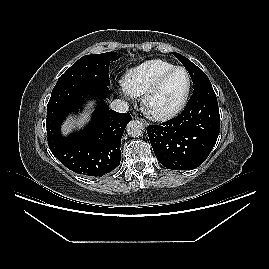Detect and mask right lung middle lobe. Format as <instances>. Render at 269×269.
<instances>
[{"label": "right lung middle lobe", "mask_w": 269, "mask_h": 269, "mask_svg": "<svg viewBox=\"0 0 269 269\" xmlns=\"http://www.w3.org/2000/svg\"><path fill=\"white\" fill-rule=\"evenodd\" d=\"M115 52L85 55L75 62L58 80L57 84L67 81L97 83L109 86V64L119 59Z\"/></svg>", "instance_id": "1"}]
</instances>
